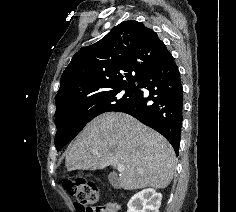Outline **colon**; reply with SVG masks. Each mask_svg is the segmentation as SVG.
<instances>
[{"label": "colon", "instance_id": "colon-1", "mask_svg": "<svg viewBox=\"0 0 236 212\" xmlns=\"http://www.w3.org/2000/svg\"><path fill=\"white\" fill-rule=\"evenodd\" d=\"M64 187L75 198L79 212H103L98 186L85 178H67Z\"/></svg>", "mask_w": 236, "mask_h": 212}]
</instances>
